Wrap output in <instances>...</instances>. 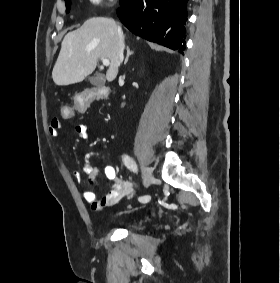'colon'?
I'll return each mask as SVG.
<instances>
[{
    "instance_id": "5ec220e1",
    "label": "colon",
    "mask_w": 280,
    "mask_h": 283,
    "mask_svg": "<svg viewBox=\"0 0 280 283\" xmlns=\"http://www.w3.org/2000/svg\"><path fill=\"white\" fill-rule=\"evenodd\" d=\"M84 94H75L74 103H64L61 105L59 112L61 113V119H74V116H82L83 110L94 99L104 98L108 91L107 87H85Z\"/></svg>"
}]
</instances>
